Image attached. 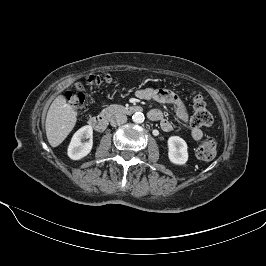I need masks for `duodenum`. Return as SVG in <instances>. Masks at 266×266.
Segmentation results:
<instances>
[{
  "instance_id": "410a0bca",
  "label": "duodenum",
  "mask_w": 266,
  "mask_h": 266,
  "mask_svg": "<svg viewBox=\"0 0 266 266\" xmlns=\"http://www.w3.org/2000/svg\"><path fill=\"white\" fill-rule=\"evenodd\" d=\"M142 109L138 105H130V106H123V105H111L106 108L101 114L91 117L89 119L90 126L98 131H104L109 123V120L118 115V114H127L131 115L137 112H140Z\"/></svg>"
}]
</instances>
